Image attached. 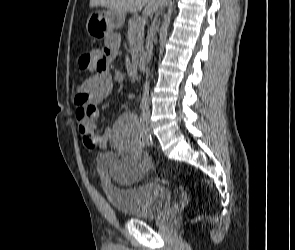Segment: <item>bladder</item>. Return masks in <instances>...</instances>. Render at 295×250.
I'll use <instances>...</instances> for the list:
<instances>
[{
  "label": "bladder",
  "mask_w": 295,
  "mask_h": 250,
  "mask_svg": "<svg viewBox=\"0 0 295 250\" xmlns=\"http://www.w3.org/2000/svg\"><path fill=\"white\" fill-rule=\"evenodd\" d=\"M117 158L111 152L97 156L99 171L106 176L103 187L109 203L129 218L155 220L169 208L171 195L166 186L155 180H145L131 186H119L109 170L116 166Z\"/></svg>",
  "instance_id": "obj_1"
}]
</instances>
